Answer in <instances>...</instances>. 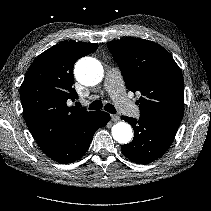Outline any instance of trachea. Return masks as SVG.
Returning <instances> with one entry per match:
<instances>
[{
    "mask_svg": "<svg viewBox=\"0 0 211 211\" xmlns=\"http://www.w3.org/2000/svg\"><path fill=\"white\" fill-rule=\"evenodd\" d=\"M103 107V103L100 101V100H95L93 101L90 105H89V109L90 110H99ZM104 109L111 113V114H115L116 113V109L115 107L110 104V103H107L105 106H104Z\"/></svg>",
    "mask_w": 211,
    "mask_h": 211,
    "instance_id": "obj_1",
    "label": "trachea"
}]
</instances>
